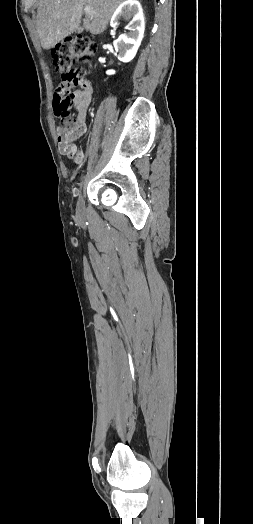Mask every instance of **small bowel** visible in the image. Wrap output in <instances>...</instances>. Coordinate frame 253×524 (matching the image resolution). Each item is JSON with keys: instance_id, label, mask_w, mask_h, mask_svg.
Here are the masks:
<instances>
[{"instance_id": "obj_1", "label": "small bowel", "mask_w": 253, "mask_h": 524, "mask_svg": "<svg viewBox=\"0 0 253 524\" xmlns=\"http://www.w3.org/2000/svg\"><path fill=\"white\" fill-rule=\"evenodd\" d=\"M60 88L59 85L54 92V104H56L62 97V94L59 92ZM92 96L93 94L88 97L74 95V105L77 111V127L67 134H64L63 131L58 128V144L60 152L69 157L75 164H81L85 157L84 151L79 150L74 141L86 131V116L92 101Z\"/></svg>"}]
</instances>
